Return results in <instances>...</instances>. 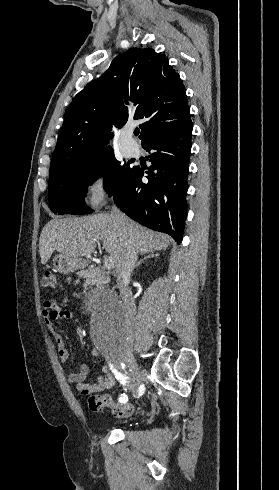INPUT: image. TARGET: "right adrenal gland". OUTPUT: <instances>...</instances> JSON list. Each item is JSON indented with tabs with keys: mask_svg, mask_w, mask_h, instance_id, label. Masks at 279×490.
<instances>
[{
	"mask_svg": "<svg viewBox=\"0 0 279 490\" xmlns=\"http://www.w3.org/2000/svg\"><path fill=\"white\" fill-rule=\"evenodd\" d=\"M155 256H159V254H154V252H152V254H149V256H145V258H142V260H140V262H138V264H136L134 270H137V268H140L141 264H143V262H146V260H148V258H155Z\"/></svg>",
	"mask_w": 279,
	"mask_h": 490,
	"instance_id": "right-adrenal-gland-1",
	"label": "right adrenal gland"
}]
</instances>
